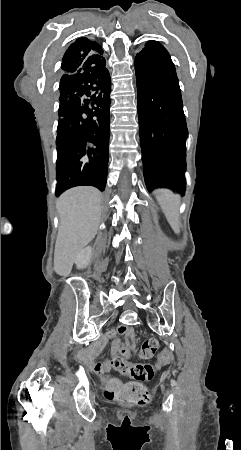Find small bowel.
I'll list each match as a JSON object with an SVG mask.
<instances>
[{"label": "small bowel", "instance_id": "c3829d8e", "mask_svg": "<svg viewBox=\"0 0 241 450\" xmlns=\"http://www.w3.org/2000/svg\"><path fill=\"white\" fill-rule=\"evenodd\" d=\"M116 333L123 335L124 340H121L120 338H114L111 346V360L115 356H120L124 360H127L131 357L135 347L136 342L135 331L131 326L120 325L118 326L116 331L111 330L108 332L107 335L109 337H115ZM105 342H106L105 339L98 341L94 345L92 351L89 352L86 357L88 364L92 366L93 370L97 374H103L111 369V360L102 363H93V360L100 356V353L96 350L103 347L105 345Z\"/></svg>", "mask_w": 241, "mask_h": 450}]
</instances>
